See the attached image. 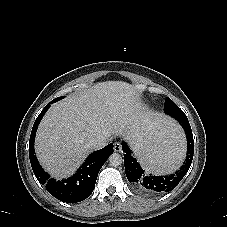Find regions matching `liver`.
I'll use <instances>...</instances> for the list:
<instances>
[{"instance_id":"obj_1","label":"liver","mask_w":227,"mask_h":227,"mask_svg":"<svg viewBox=\"0 0 227 227\" xmlns=\"http://www.w3.org/2000/svg\"><path fill=\"white\" fill-rule=\"evenodd\" d=\"M152 115L162 116L144 111L140 94L131 84L97 83L48 110L36 134V155L51 176L68 177L92 151L87 146L91 138L116 135L132 142V124Z\"/></svg>"}]
</instances>
